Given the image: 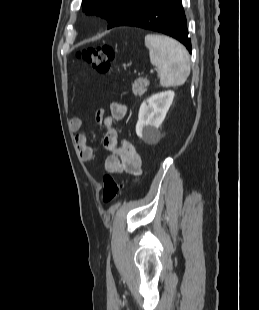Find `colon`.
<instances>
[{"mask_svg":"<svg viewBox=\"0 0 259 310\" xmlns=\"http://www.w3.org/2000/svg\"><path fill=\"white\" fill-rule=\"evenodd\" d=\"M78 56L99 73H109L115 60V50L112 46L101 44L83 49ZM123 185L113 175L103 177L102 199L108 203L122 194Z\"/></svg>","mask_w":259,"mask_h":310,"instance_id":"colon-1","label":"colon"}]
</instances>
